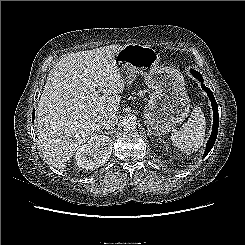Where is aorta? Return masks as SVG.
I'll return each instance as SVG.
<instances>
[{
  "label": "aorta",
  "instance_id": "762f6f07",
  "mask_svg": "<svg viewBox=\"0 0 245 245\" xmlns=\"http://www.w3.org/2000/svg\"><path fill=\"white\" fill-rule=\"evenodd\" d=\"M121 126L126 131L134 130L137 127L136 117L133 115H125L121 119Z\"/></svg>",
  "mask_w": 245,
  "mask_h": 245
}]
</instances>
